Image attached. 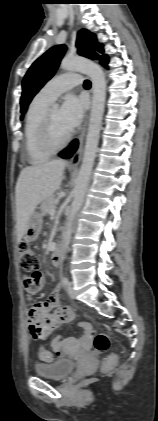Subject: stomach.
<instances>
[{
	"mask_svg": "<svg viewBox=\"0 0 158 421\" xmlns=\"http://www.w3.org/2000/svg\"><path fill=\"white\" fill-rule=\"evenodd\" d=\"M43 215L38 212L34 211L31 214V217L28 221L26 232H25V238L29 242H33L38 238V235L40 234V231L42 229V223H43Z\"/></svg>",
	"mask_w": 158,
	"mask_h": 421,
	"instance_id": "obj_1",
	"label": "stomach"
}]
</instances>
